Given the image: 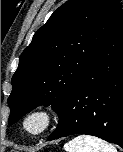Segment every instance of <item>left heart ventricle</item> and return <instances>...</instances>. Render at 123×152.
Masks as SVG:
<instances>
[{"instance_id": "obj_1", "label": "left heart ventricle", "mask_w": 123, "mask_h": 152, "mask_svg": "<svg viewBox=\"0 0 123 152\" xmlns=\"http://www.w3.org/2000/svg\"><path fill=\"white\" fill-rule=\"evenodd\" d=\"M41 124H42L41 118L35 117L29 122L28 126L31 130H36L41 126Z\"/></svg>"}]
</instances>
